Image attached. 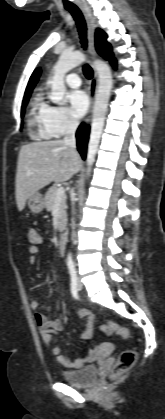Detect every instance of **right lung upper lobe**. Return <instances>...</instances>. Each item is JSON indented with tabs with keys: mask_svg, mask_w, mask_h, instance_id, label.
I'll return each mask as SVG.
<instances>
[{
	"mask_svg": "<svg viewBox=\"0 0 165 419\" xmlns=\"http://www.w3.org/2000/svg\"><path fill=\"white\" fill-rule=\"evenodd\" d=\"M40 73H41L40 68L36 69L33 72L32 76L30 77V80L28 82V85H27V88H26V91H25L24 98L30 97L31 92H32L34 86L36 85V83L38 81V78L40 76Z\"/></svg>",
	"mask_w": 165,
	"mask_h": 419,
	"instance_id": "1",
	"label": "right lung upper lobe"
}]
</instances>
